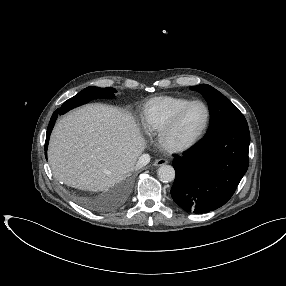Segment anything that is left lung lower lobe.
I'll use <instances>...</instances> for the list:
<instances>
[{"mask_svg":"<svg viewBox=\"0 0 286 286\" xmlns=\"http://www.w3.org/2000/svg\"><path fill=\"white\" fill-rule=\"evenodd\" d=\"M248 127H223L206 133L174 160L173 200L184 210L206 213L223 206L247 171Z\"/></svg>","mask_w":286,"mask_h":286,"instance_id":"obj_1","label":"left lung lower lobe"}]
</instances>
